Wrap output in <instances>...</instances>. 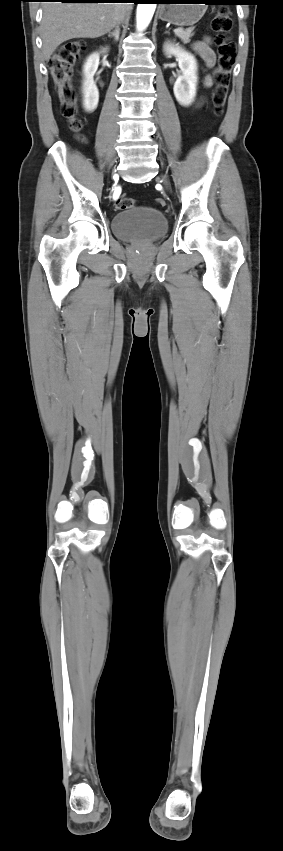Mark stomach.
Listing matches in <instances>:
<instances>
[{"label":"stomach","mask_w":283,"mask_h":851,"mask_svg":"<svg viewBox=\"0 0 283 851\" xmlns=\"http://www.w3.org/2000/svg\"><path fill=\"white\" fill-rule=\"evenodd\" d=\"M208 0H170L159 7V18L178 26L197 23L207 9Z\"/></svg>","instance_id":"obj_1"}]
</instances>
